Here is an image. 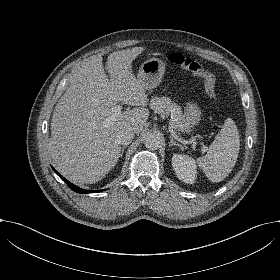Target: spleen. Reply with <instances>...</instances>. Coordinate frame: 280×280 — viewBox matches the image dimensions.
<instances>
[{
	"instance_id": "1",
	"label": "spleen",
	"mask_w": 280,
	"mask_h": 280,
	"mask_svg": "<svg viewBox=\"0 0 280 280\" xmlns=\"http://www.w3.org/2000/svg\"><path fill=\"white\" fill-rule=\"evenodd\" d=\"M240 150V137L237 126L227 118L221 131L216 135L203 157L197 163L212 182H221L232 171Z\"/></svg>"
}]
</instances>
